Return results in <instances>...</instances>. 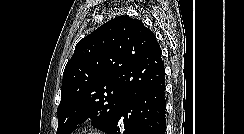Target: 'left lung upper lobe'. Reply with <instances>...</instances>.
Instances as JSON below:
<instances>
[{
  "mask_svg": "<svg viewBox=\"0 0 244 134\" xmlns=\"http://www.w3.org/2000/svg\"><path fill=\"white\" fill-rule=\"evenodd\" d=\"M161 49L154 33L138 20L118 16L81 39L68 61L57 108V134L78 124L107 132L123 101L165 85Z\"/></svg>",
  "mask_w": 244,
  "mask_h": 134,
  "instance_id": "left-lung-upper-lobe-1",
  "label": "left lung upper lobe"
}]
</instances>
